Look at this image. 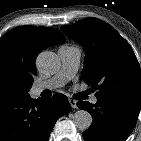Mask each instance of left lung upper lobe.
I'll use <instances>...</instances> for the list:
<instances>
[{
	"label": "left lung upper lobe",
	"instance_id": "1",
	"mask_svg": "<svg viewBox=\"0 0 141 141\" xmlns=\"http://www.w3.org/2000/svg\"><path fill=\"white\" fill-rule=\"evenodd\" d=\"M62 31L85 50L83 79L100 99L141 103V69L128 42L110 25L87 18Z\"/></svg>",
	"mask_w": 141,
	"mask_h": 141
}]
</instances>
